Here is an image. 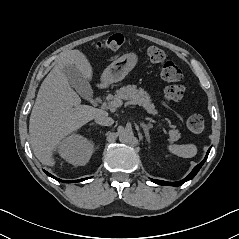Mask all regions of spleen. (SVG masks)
I'll return each instance as SVG.
<instances>
[{
  "mask_svg": "<svg viewBox=\"0 0 239 239\" xmlns=\"http://www.w3.org/2000/svg\"><path fill=\"white\" fill-rule=\"evenodd\" d=\"M167 149L172 154H175L183 158H190L197 154V147L194 144L168 145Z\"/></svg>",
  "mask_w": 239,
  "mask_h": 239,
  "instance_id": "3e777b00",
  "label": "spleen"
}]
</instances>
